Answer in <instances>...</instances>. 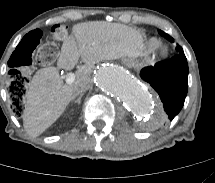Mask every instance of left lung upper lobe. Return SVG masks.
Segmentation results:
<instances>
[{"label": "left lung upper lobe", "instance_id": "left-lung-upper-lobe-1", "mask_svg": "<svg viewBox=\"0 0 215 183\" xmlns=\"http://www.w3.org/2000/svg\"><path fill=\"white\" fill-rule=\"evenodd\" d=\"M158 32H159L160 35H162L163 37H165L167 40H169V41H171V42L174 41V39H173L170 35H168L167 33L163 32V31H161V30H159ZM176 50H177V52L180 53V54H181V53H184V52H183V49H182L181 47H179V46L176 47Z\"/></svg>", "mask_w": 215, "mask_h": 183}]
</instances>
